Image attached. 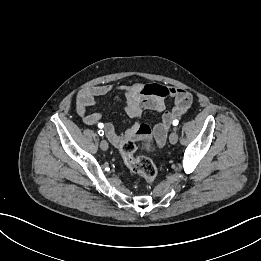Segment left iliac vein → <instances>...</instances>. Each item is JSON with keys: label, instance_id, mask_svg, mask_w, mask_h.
I'll use <instances>...</instances> for the list:
<instances>
[{"label": "left iliac vein", "instance_id": "left-iliac-vein-1", "mask_svg": "<svg viewBox=\"0 0 261 261\" xmlns=\"http://www.w3.org/2000/svg\"><path fill=\"white\" fill-rule=\"evenodd\" d=\"M169 141L171 144H176L178 141V134L176 133V131H173L170 136H169Z\"/></svg>", "mask_w": 261, "mask_h": 261}]
</instances>
